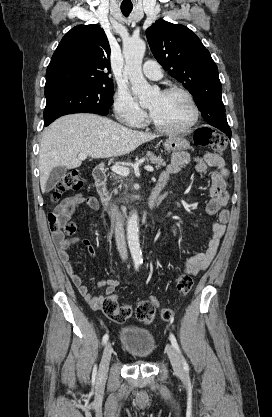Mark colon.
I'll return each instance as SVG.
<instances>
[{
    "label": "colon",
    "mask_w": 272,
    "mask_h": 417,
    "mask_svg": "<svg viewBox=\"0 0 272 417\" xmlns=\"http://www.w3.org/2000/svg\"><path fill=\"white\" fill-rule=\"evenodd\" d=\"M194 143L200 147H207L216 153H222L226 148V140L211 127L203 126L198 128L193 136ZM83 181L78 171L64 175L57 183L52 193V200L58 201L62 193L78 190L82 187ZM50 231L53 234H71L75 231L73 223H61L57 212L48 215ZM193 287V279L190 275L181 274L177 279L176 289L181 297L187 296ZM156 308H160L157 297L151 296L142 300L133 308L130 305H120L116 295L106 297L102 303L103 313L115 323H123L134 313L137 320L143 324H150L154 317ZM175 310L173 308H161L160 316L164 321L173 319Z\"/></svg>",
    "instance_id": "1"
}]
</instances>
